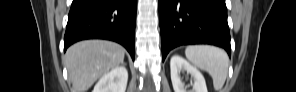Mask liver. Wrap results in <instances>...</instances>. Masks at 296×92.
<instances>
[{"label":"liver","mask_w":296,"mask_h":92,"mask_svg":"<svg viewBox=\"0 0 296 92\" xmlns=\"http://www.w3.org/2000/svg\"><path fill=\"white\" fill-rule=\"evenodd\" d=\"M125 49L114 42L85 40L68 48L64 63L75 92H86L100 77L124 61Z\"/></svg>","instance_id":"1"}]
</instances>
